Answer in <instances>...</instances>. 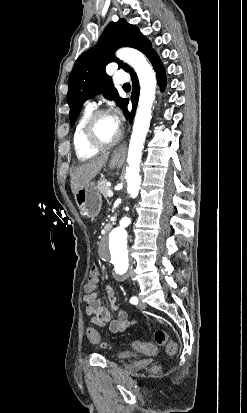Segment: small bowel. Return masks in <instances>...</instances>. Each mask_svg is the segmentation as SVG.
Returning a JSON list of instances; mask_svg holds the SVG:
<instances>
[{
  "label": "small bowel",
  "instance_id": "small-bowel-1",
  "mask_svg": "<svg viewBox=\"0 0 247 413\" xmlns=\"http://www.w3.org/2000/svg\"><path fill=\"white\" fill-rule=\"evenodd\" d=\"M99 282H87L84 286L83 302L87 314L90 316V321L94 325L108 326L112 333H121L135 324V320L128 318L126 312L119 310L120 306L117 303L115 292L112 286L108 285L105 288L107 298L113 310L118 311L116 318H112L109 310L104 307L98 299Z\"/></svg>",
  "mask_w": 247,
  "mask_h": 413
}]
</instances>
